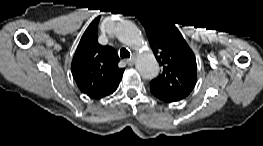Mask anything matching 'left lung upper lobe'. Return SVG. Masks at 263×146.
I'll list each match as a JSON object with an SVG mask.
<instances>
[{
	"label": "left lung upper lobe",
	"instance_id": "obj_1",
	"mask_svg": "<svg viewBox=\"0 0 263 146\" xmlns=\"http://www.w3.org/2000/svg\"><path fill=\"white\" fill-rule=\"evenodd\" d=\"M143 25L162 72L150 82L175 101L187 97L196 81V58L179 30L164 22Z\"/></svg>",
	"mask_w": 263,
	"mask_h": 146
}]
</instances>
